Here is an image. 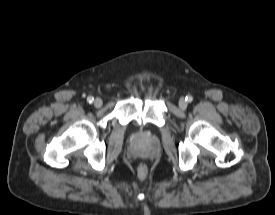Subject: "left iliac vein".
I'll return each instance as SVG.
<instances>
[{"label":"left iliac vein","mask_w":275,"mask_h":215,"mask_svg":"<svg viewBox=\"0 0 275 215\" xmlns=\"http://www.w3.org/2000/svg\"><path fill=\"white\" fill-rule=\"evenodd\" d=\"M187 101L184 99V98H181L179 100V107L182 109V110H185L187 108Z\"/></svg>","instance_id":"1"}]
</instances>
